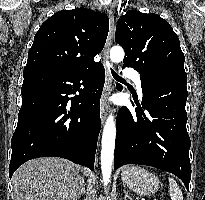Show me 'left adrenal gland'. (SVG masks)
I'll use <instances>...</instances> for the list:
<instances>
[{
  "label": "left adrenal gland",
  "mask_w": 205,
  "mask_h": 200,
  "mask_svg": "<svg viewBox=\"0 0 205 200\" xmlns=\"http://www.w3.org/2000/svg\"><path fill=\"white\" fill-rule=\"evenodd\" d=\"M124 193H125V196H124V200H127V199H130L132 200L131 196L129 195L128 191L124 189Z\"/></svg>",
  "instance_id": "obj_1"
}]
</instances>
